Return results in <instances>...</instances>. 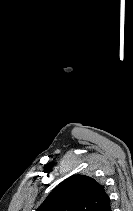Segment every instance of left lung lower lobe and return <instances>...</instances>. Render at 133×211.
<instances>
[{"instance_id": "obj_1", "label": "left lung lower lobe", "mask_w": 133, "mask_h": 211, "mask_svg": "<svg viewBox=\"0 0 133 211\" xmlns=\"http://www.w3.org/2000/svg\"><path fill=\"white\" fill-rule=\"evenodd\" d=\"M96 211H111V207H110V200L109 198L102 204L100 205Z\"/></svg>"}]
</instances>
